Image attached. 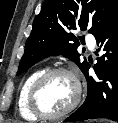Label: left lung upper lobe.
Masks as SVG:
<instances>
[{
    "label": "left lung upper lobe",
    "mask_w": 118,
    "mask_h": 123,
    "mask_svg": "<svg viewBox=\"0 0 118 123\" xmlns=\"http://www.w3.org/2000/svg\"><path fill=\"white\" fill-rule=\"evenodd\" d=\"M117 16L118 0H46L33 21L17 75L43 58L60 54L73 60L83 72L88 62L79 59L74 31L89 29L96 37Z\"/></svg>",
    "instance_id": "1"
}]
</instances>
